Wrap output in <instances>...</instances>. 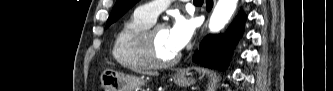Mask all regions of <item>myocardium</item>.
<instances>
[{
  "label": "myocardium",
  "mask_w": 333,
  "mask_h": 91,
  "mask_svg": "<svg viewBox=\"0 0 333 91\" xmlns=\"http://www.w3.org/2000/svg\"><path fill=\"white\" fill-rule=\"evenodd\" d=\"M160 27H164V25L160 23H153L141 33L139 38L142 55L147 64L154 68L170 67L177 63L180 59L179 53L168 60H163L157 55L154 43V34Z\"/></svg>",
  "instance_id": "f54148a6"
}]
</instances>
